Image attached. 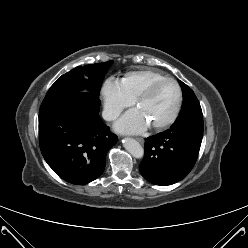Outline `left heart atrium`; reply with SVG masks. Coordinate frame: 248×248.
<instances>
[{
  "label": "left heart atrium",
  "mask_w": 248,
  "mask_h": 248,
  "mask_svg": "<svg viewBox=\"0 0 248 248\" xmlns=\"http://www.w3.org/2000/svg\"><path fill=\"white\" fill-rule=\"evenodd\" d=\"M149 122L139 108H134L124 114L114 125L118 132L139 134L144 132Z\"/></svg>",
  "instance_id": "obj_1"
}]
</instances>
